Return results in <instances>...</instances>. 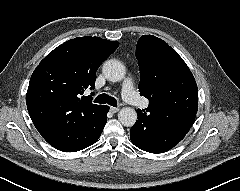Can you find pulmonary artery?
Masks as SVG:
<instances>
[{
  "label": "pulmonary artery",
  "mask_w": 240,
  "mask_h": 191,
  "mask_svg": "<svg viewBox=\"0 0 240 191\" xmlns=\"http://www.w3.org/2000/svg\"><path fill=\"white\" fill-rule=\"evenodd\" d=\"M122 96L127 102L131 103L134 106H147V102L140 98L135 92L133 80L131 77L126 78L123 82Z\"/></svg>",
  "instance_id": "e3ab8cb5"
}]
</instances>
